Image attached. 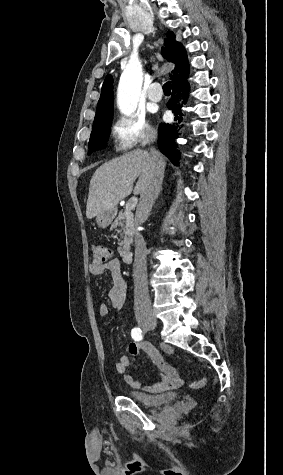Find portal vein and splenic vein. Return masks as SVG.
I'll return each instance as SVG.
<instances>
[{
  "instance_id": "obj_1",
  "label": "portal vein and splenic vein",
  "mask_w": 283,
  "mask_h": 475,
  "mask_svg": "<svg viewBox=\"0 0 283 475\" xmlns=\"http://www.w3.org/2000/svg\"><path fill=\"white\" fill-rule=\"evenodd\" d=\"M131 202L132 200H129L127 206H126V210H129V212H131L130 208H131ZM134 202H136V200H134Z\"/></svg>"
}]
</instances>
